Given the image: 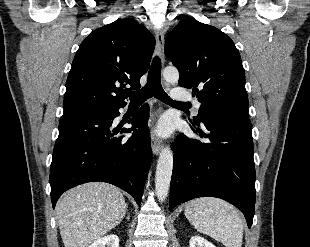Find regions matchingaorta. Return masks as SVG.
<instances>
[{"label": "aorta", "mask_w": 310, "mask_h": 247, "mask_svg": "<svg viewBox=\"0 0 310 247\" xmlns=\"http://www.w3.org/2000/svg\"><path fill=\"white\" fill-rule=\"evenodd\" d=\"M164 79L169 83H176L179 72L174 67H167L163 71ZM173 170V153L167 146L161 150L156 167L155 191L159 201L163 202L168 196Z\"/></svg>", "instance_id": "762f6f07"}]
</instances>
